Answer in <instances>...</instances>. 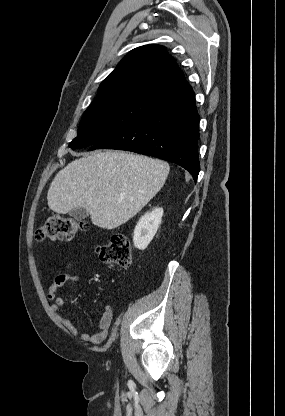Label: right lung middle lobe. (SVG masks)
Returning a JSON list of instances; mask_svg holds the SVG:
<instances>
[{
    "mask_svg": "<svg viewBox=\"0 0 285 416\" xmlns=\"http://www.w3.org/2000/svg\"><path fill=\"white\" fill-rule=\"evenodd\" d=\"M162 108L159 104L138 96H125L92 104L84 112L78 136L69 147L91 146Z\"/></svg>",
    "mask_w": 285,
    "mask_h": 416,
    "instance_id": "1",
    "label": "right lung middle lobe"
}]
</instances>
